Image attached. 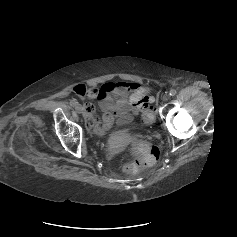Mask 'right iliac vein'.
Returning a JSON list of instances; mask_svg holds the SVG:
<instances>
[{
	"mask_svg": "<svg viewBox=\"0 0 237 237\" xmlns=\"http://www.w3.org/2000/svg\"><path fill=\"white\" fill-rule=\"evenodd\" d=\"M75 109H76V111H77L79 114L83 113V107H82V105L77 104L76 107H75Z\"/></svg>",
	"mask_w": 237,
	"mask_h": 237,
	"instance_id": "right-iliac-vein-1",
	"label": "right iliac vein"
}]
</instances>
